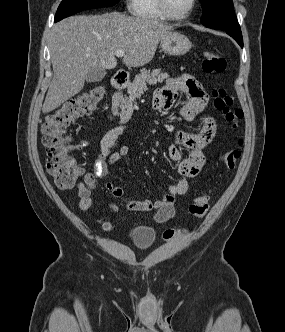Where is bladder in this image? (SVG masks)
<instances>
[{"label":"bladder","instance_id":"31cf9c89","mask_svg":"<svg viewBox=\"0 0 285 332\" xmlns=\"http://www.w3.org/2000/svg\"><path fill=\"white\" fill-rule=\"evenodd\" d=\"M104 225H105L106 229L113 228V224L110 222V220L105 222ZM131 239L137 248L144 250V249L151 247L154 244V242L156 240V233L150 227L139 226V227H136L131 232Z\"/></svg>","mask_w":285,"mask_h":332}]
</instances>
